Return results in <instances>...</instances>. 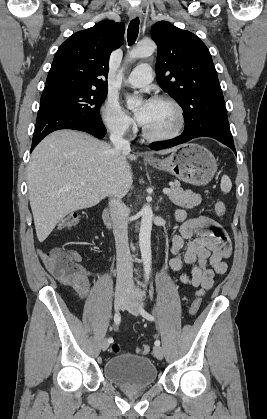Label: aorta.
I'll list each match as a JSON object with an SVG mask.
<instances>
[{"instance_id": "1", "label": "aorta", "mask_w": 267, "mask_h": 419, "mask_svg": "<svg viewBox=\"0 0 267 419\" xmlns=\"http://www.w3.org/2000/svg\"><path fill=\"white\" fill-rule=\"evenodd\" d=\"M156 50V45L152 41L141 42L136 47H134L128 54V59L133 60L142 57H148L152 55ZM141 103L139 100H127V107L129 109H134ZM141 225L139 231V247L141 252V258L143 261L145 279L149 280L151 273V230H152V220H153V211L150 205L146 204L141 210Z\"/></svg>"}]
</instances>
